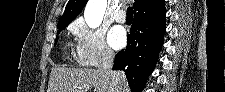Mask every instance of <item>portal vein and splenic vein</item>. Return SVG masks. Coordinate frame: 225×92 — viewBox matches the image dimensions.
<instances>
[{
    "label": "portal vein and splenic vein",
    "mask_w": 225,
    "mask_h": 92,
    "mask_svg": "<svg viewBox=\"0 0 225 92\" xmlns=\"http://www.w3.org/2000/svg\"><path fill=\"white\" fill-rule=\"evenodd\" d=\"M77 86H74V88H76ZM82 88L85 89V91H88L89 90V86L88 85H82L81 86Z\"/></svg>",
    "instance_id": "18ae733b"
}]
</instances>
